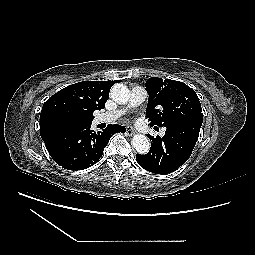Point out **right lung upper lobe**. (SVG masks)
<instances>
[{"instance_id":"1","label":"right lung upper lobe","mask_w":255,"mask_h":255,"mask_svg":"<svg viewBox=\"0 0 255 255\" xmlns=\"http://www.w3.org/2000/svg\"><path fill=\"white\" fill-rule=\"evenodd\" d=\"M117 81H83L69 85L51 96L40 115V134L57 127L89 124L93 112L105 107L111 87Z\"/></svg>"}]
</instances>
